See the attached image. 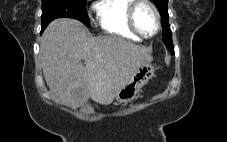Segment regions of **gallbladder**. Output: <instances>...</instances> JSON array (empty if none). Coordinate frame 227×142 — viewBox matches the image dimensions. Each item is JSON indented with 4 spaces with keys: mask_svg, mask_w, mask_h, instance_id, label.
I'll return each instance as SVG.
<instances>
[{
    "mask_svg": "<svg viewBox=\"0 0 227 142\" xmlns=\"http://www.w3.org/2000/svg\"><path fill=\"white\" fill-rule=\"evenodd\" d=\"M86 111H91V108L87 107V108H86Z\"/></svg>",
    "mask_w": 227,
    "mask_h": 142,
    "instance_id": "bac80fb5",
    "label": "gallbladder"
}]
</instances>
